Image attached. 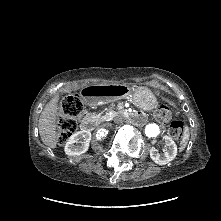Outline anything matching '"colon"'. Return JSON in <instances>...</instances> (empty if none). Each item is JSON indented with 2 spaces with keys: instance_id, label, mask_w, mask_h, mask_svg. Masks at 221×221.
Masks as SVG:
<instances>
[{
  "instance_id": "5ec220e1",
  "label": "colon",
  "mask_w": 221,
  "mask_h": 221,
  "mask_svg": "<svg viewBox=\"0 0 221 221\" xmlns=\"http://www.w3.org/2000/svg\"><path fill=\"white\" fill-rule=\"evenodd\" d=\"M84 103L78 95L65 97L61 102V113L57 121V140L65 143L76 130V118L83 112ZM155 117L158 121L165 123L171 118V109L166 104L159 105L155 110ZM185 132L184 123L173 120L169 123V135L174 139H180Z\"/></svg>"
}]
</instances>
